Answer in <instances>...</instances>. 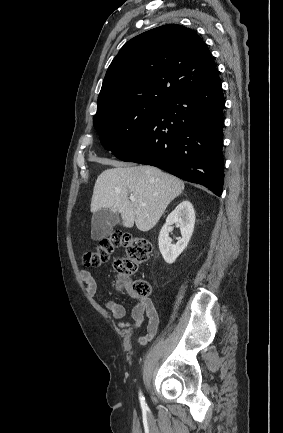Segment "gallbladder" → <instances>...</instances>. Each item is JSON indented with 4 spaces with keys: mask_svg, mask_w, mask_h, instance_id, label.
<instances>
[{
    "mask_svg": "<svg viewBox=\"0 0 283 433\" xmlns=\"http://www.w3.org/2000/svg\"><path fill=\"white\" fill-rule=\"evenodd\" d=\"M120 223L118 212H113L110 208H101L93 212L91 221V237L93 241L106 239L113 231V227Z\"/></svg>",
    "mask_w": 283,
    "mask_h": 433,
    "instance_id": "bac80fb5",
    "label": "gallbladder"
}]
</instances>
